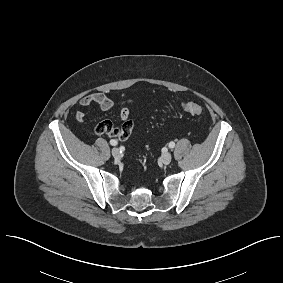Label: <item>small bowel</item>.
<instances>
[{"label":"small bowel","mask_w":283,"mask_h":283,"mask_svg":"<svg viewBox=\"0 0 283 283\" xmlns=\"http://www.w3.org/2000/svg\"><path fill=\"white\" fill-rule=\"evenodd\" d=\"M80 105L84 108H88L92 105H97L103 111H110L114 108L115 102L102 92H94L84 95L80 99ZM129 113V109L126 105H124L119 111V118L123 122V124L121 127H118V133L114 137L120 140L127 139L134 129V123L129 120ZM76 119L80 123H84L85 113L83 111H78L76 113Z\"/></svg>","instance_id":"1"}]
</instances>
